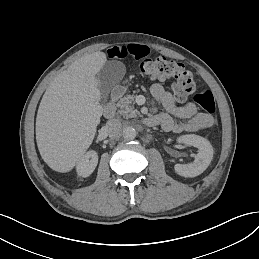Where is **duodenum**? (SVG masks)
I'll return each mask as SVG.
<instances>
[{
    "label": "duodenum",
    "instance_id": "1",
    "mask_svg": "<svg viewBox=\"0 0 259 259\" xmlns=\"http://www.w3.org/2000/svg\"><path fill=\"white\" fill-rule=\"evenodd\" d=\"M124 88L121 86L115 87L111 93V99L103 107V114L106 118H111L115 114V102L123 95ZM144 124L154 126L157 124V119L154 116L144 119Z\"/></svg>",
    "mask_w": 259,
    "mask_h": 259
}]
</instances>
